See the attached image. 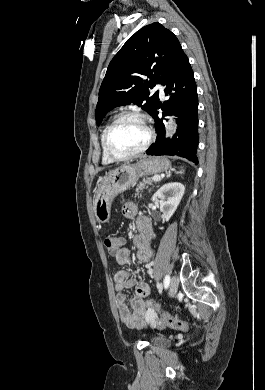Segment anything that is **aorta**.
<instances>
[{"label":"aorta","instance_id":"aorta-1","mask_svg":"<svg viewBox=\"0 0 265 390\" xmlns=\"http://www.w3.org/2000/svg\"><path fill=\"white\" fill-rule=\"evenodd\" d=\"M169 124H170V127H172V121Z\"/></svg>","mask_w":265,"mask_h":390}]
</instances>
